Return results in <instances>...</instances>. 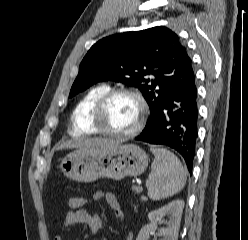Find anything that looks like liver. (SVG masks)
<instances>
[{"mask_svg":"<svg viewBox=\"0 0 248 240\" xmlns=\"http://www.w3.org/2000/svg\"><path fill=\"white\" fill-rule=\"evenodd\" d=\"M116 143L113 140L102 138L81 139L76 141H67L61 144L58 149L79 148V150L92 151L100 148L114 146Z\"/></svg>","mask_w":248,"mask_h":240,"instance_id":"6515ba94","label":"liver"}]
</instances>
